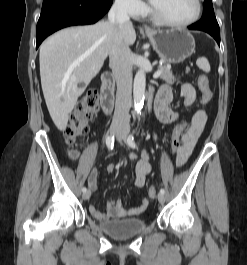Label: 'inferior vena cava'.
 I'll return each instance as SVG.
<instances>
[{
    "label": "inferior vena cava",
    "instance_id": "602c4592",
    "mask_svg": "<svg viewBox=\"0 0 247 265\" xmlns=\"http://www.w3.org/2000/svg\"><path fill=\"white\" fill-rule=\"evenodd\" d=\"M115 33L109 49V66L117 83L115 112L112 123L129 129V109L132 101V52L123 42L119 29L132 27L125 0H116L108 13Z\"/></svg>",
    "mask_w": 247,
    "mask_h": 265
}]
</instances>
